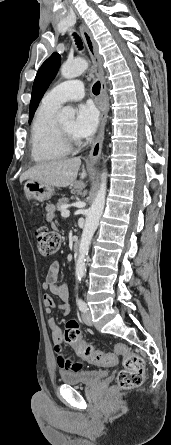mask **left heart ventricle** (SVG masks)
Returning a JSON list of instances; mask_svg holds the SVG:
<instances>
[{
    "instance_id": "1",
    "label": "left heart ventricle",
    "mask_w": 171,
    "mask_h": 445,
    "mask_svg": "<svg viewBox=\"0 0 171 445\" xmlns=\"http://www.w3.org/2000/svg\"><path fill=\"white\" fill-rule=\"evenodd\" d=\"M61 125V127L68 133L70 134L72 137L74 138H78L75 136L74 132H73V126H74V122L72 120L70 121H65V122H61L59 123Z\"/></svg>"
}]
</instances>
